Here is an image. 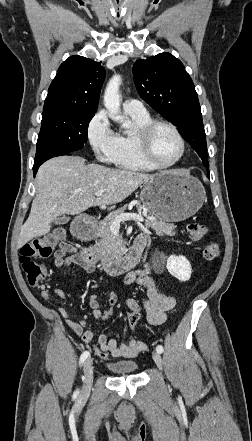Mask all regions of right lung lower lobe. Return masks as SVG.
Here are the masks:
<instances>
[{
	"mask_svg": "<svg viewBox=\"0 0 252 441\" xmlns=\"http://www.w3.org/2000/svg\"><path fill=\"white\" fill-rule=\"evenodd\" d=\"M71 153H67L66 155H70ZM45 162V161H44ZM44 162H40V163H37V164H34V166H33V174H34V177H35V175H36V173H37V170H38V168H39V166L42 164V163H44Z\"/></svg>",
	"mask_w": 252,
	"mask_h": 441,
	"instance_id": "98d812e1",
	"label": "right lung lower lobe"
}]
</instances>
